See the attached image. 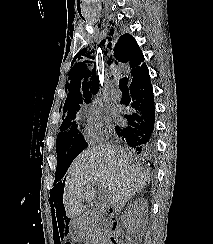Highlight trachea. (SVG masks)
<instances>
[{
    "instance_id": "1",
    "label": "trachea",
    "mask_w": 213,
    "mask_h": 244,
    "mask_svg": "<svg viewBox=\"0 0 213 244\" xmlns=\"http://www.w3.org/2000/svg\"><path fill=\"white\" fill-rule=\"evenodd\" d=\"M127 85H128V78L126 77L121 78L119 81V88L123 93L129 92Z\"/></svg>"
}]
</instances>
